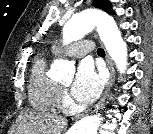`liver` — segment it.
Masks as SVG:
<instances>
[{
  "label": "liver",
  "mask_w": 153,
  "mask_h": 134,
  "mask_svg": "<svg viewBox=\"0 0 153 134\" xmlns=\"http://www.w3.org/2000/svg\"><path fill=\"white\" fill-rule=\"evenodd\" d=\"M21 125L17 128V134H51L59 132L64 126V120L49 112L27 110L21 116Z\"/></svg>",
  "instance_id": "obj_1"
}]
</instances>
